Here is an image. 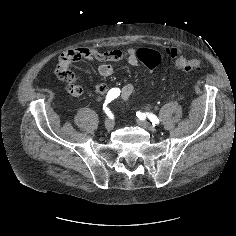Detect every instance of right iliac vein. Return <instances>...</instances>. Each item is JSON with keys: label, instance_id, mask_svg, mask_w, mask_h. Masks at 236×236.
Segmentation results:
<instances>
[{"label": "right iliac vein", "instance_id": "1", "mask_svg": "<svg viewBox=\"0 0 236 236\" xmlns=\"http://www.w3.org/2000/svg\"><path fill=\"white\" fill-rule=\"evenodd\" d=\"M104 125H105V129H106L107 131H110V130H112L113 127H114V121H113L111 118H107V119L105 120Z\"/></svg>", "mask_w": 236, "mask_h": 236}]
</instances>
